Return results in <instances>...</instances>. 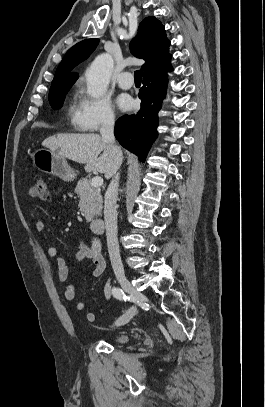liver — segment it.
<instances>
[{
	"instance_id": "6515ba94",
	"label": "liver",
	"mask_w": 265,
	"mask_h": 407,
	"mask_svg": "<svg viewBox=\"0 0 265 407\" xmlns=\"http://www.w3.org/2000/svg\"><path fill=\"white\" fill-rule=\"evenodd\" d=\"M42 145L64 158L85 164L86 171L104 173L107 179L117 166L114 148L96 133L57 134L46 138Z\"/></svg>"
}]
</instances>
